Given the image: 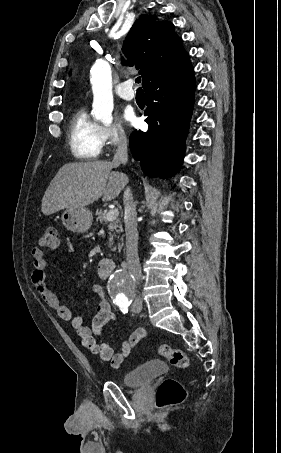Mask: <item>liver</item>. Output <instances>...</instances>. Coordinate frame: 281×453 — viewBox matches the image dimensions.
I'll use <instances>...</instances> for the list:
<instances>
[{
	"instance_id": "6515ba94",
	"label": "liver",
	"mask_w": 281,
	"mask_h": 453,
	"mask_svg": "<svg viewBox=\"0 0 281 453\" xmlns=\"http://www.w3.org/2000/svg\"><path fill=\"white\" fill-rule=\"evenodd\" d=\"M118 164L108 160L67 162L59 168L42 198L43 214L62 208L88 206L98 198L113 200L124 186V174L112 170Z\"/></svg>"
}]
</instances>
